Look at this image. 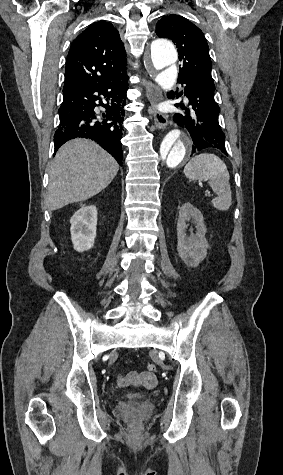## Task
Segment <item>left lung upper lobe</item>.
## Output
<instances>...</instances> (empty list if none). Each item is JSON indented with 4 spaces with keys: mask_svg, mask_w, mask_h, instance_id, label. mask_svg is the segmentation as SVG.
Here are the masks:
<instances>
[{
    "mask_svg": "<svg viewBox=\"0 0 283 475\" xmlns=\"http://www.w3.org/2000/svg\"><path fill=\"white\" fill-rule=\"evenodd\" d=\"M156 34L176 44L182 62L179 78L196 79L214 85L208 44L197 26L180 15L171 14L157 22Z\"/></svg>",
    "mask_w": 283,
    "mask_h": 475,
    "instance_id": "left-lung-upper-lobe-1",
    "label": "left lung upper lobe"
}]
</instances>
